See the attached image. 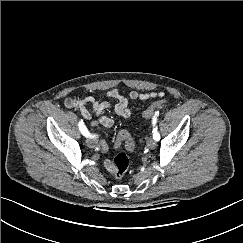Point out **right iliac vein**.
<instances>
[{
	"instance_id": "1",
	"label": "right iliac vein",
	"mask_w": 243,
	"mask_h": 243,
	"mask_svg": "<svg viewBox=\"0 0 243 243\" xmlns=\"http://www.w3.org/2000/svg\"><path fill=\"white\" fill-rule=\"evenodd\" d=\"M86 143L90 148H95L97 145V141L92 136L86 140Z\"/></svg>"
}]
</instances>
